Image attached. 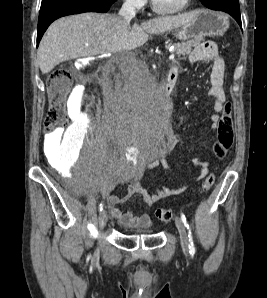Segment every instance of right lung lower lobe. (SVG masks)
Instances as JSON below:
<instances>
[{"label":"right lung lower lobe","mask_w":267,"mask_h":298,"mask_svg":"<svg viewBox=\"0 0 267 298\" xmlns=\"http://www.w3.org/2000/svg\"><path fill=\"white\" fill-rule=\"evenodd\" d=\"M116 0H42L37 32V46L56 19L83 12H107Z\"/></svg>","instance_id":"98d812e1"}]
</instances>
